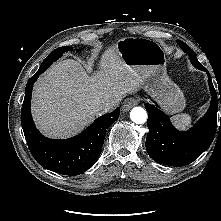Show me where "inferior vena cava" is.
<instances>
[{
	"label": "inferior vena cava",
	"instance_id": "obj_1",
	"mask_svg": "<svg viewBox=\"0 0 221 221\" xmlns=\"http://www.w3.org/2000/svg\"><path fill=\"white\" fill-rule=\"evenodd\" d=\"M120 100V98L105 99L100 102L99 106L104 112L113 111L118 107Z\"/></svg>",
	"mask_w": 221,
	"mask_h": 221
}]
</instances>
